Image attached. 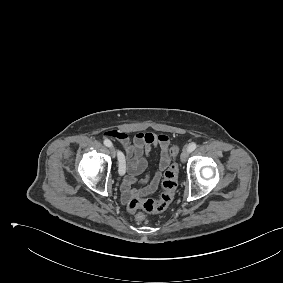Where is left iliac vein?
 Masks as SVG:
<instances>
[{
  "mask_svg": "<svg viewBox=\"0 0 283 283\" xmlns=\"http://www.w3.org/2000/svg\"><path fill=\"white\" fill-rule=\"evenodd\" d=\"M188 155H189V151L188 150H184L182 153H181V156H180V159L182 162H186L187 158H188Z\"/></svg>",
  "mask_w": 283,
  "mask_h": 283,
  "instance_id": "4c4485c4",
  "label": "left iliac vein"
}]
</instances>
